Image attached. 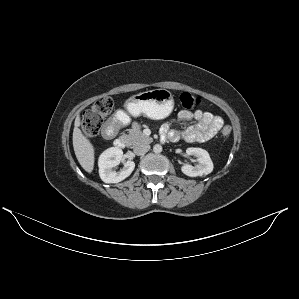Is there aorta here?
Returning a JSON list of instances; mask_svg holds the SVG:
<instances>
[{
    "label": "aorta",
    "mask_w": 299,
    "mask_h": 299,
    "mask_svg": "<svg viewBox=\"0 0 299 299\" xmlns=\"http://www.w3.org/2000/svg\"><path fill=\"white\" fill-rule=\"evenodd\" d=\"M153 151L155 153H161L162 152V146L160 144H156L153 146Z\"/></svg>",
    "instance_id": "aorta-1"
}]
</instances>
